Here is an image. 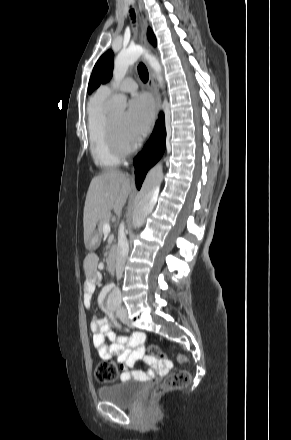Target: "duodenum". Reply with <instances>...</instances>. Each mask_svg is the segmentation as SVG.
I'll use <instances>...</instances> for the list:
<instances>
[{
	"label": "duodenum",
	"instance_id": "410a0bca",
	"mask_svg": "<svg viewBox=\"0 0 291 440\" xmlns=\"http://www.w3.org/2000/svg\"><path fill=\"white\" fill-rule=\"evenodd\" d=\"M106 262L109 273H113L116 266V251L114 249L110 250V252L107 254Z\"/></svg>",
	"mask_w": 291,
	"mask_h": 440
}]
</instances>
